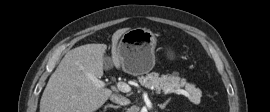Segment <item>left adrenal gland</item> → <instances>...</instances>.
<instances>
[{
	"label": "left adrenal gland",
	"mask_w": 270,
	"mask_h": 112,
	"mask_svg": "<svg viewBox=\"0 0 270 112\" xmlns=\"http://www.w3.org/2000/svg\"><path fill=\"white\" fill-rule=\"evenodd\" d=\"M169 101H170V99H168V100H167L166 102H164L163 104H160L159 107H160L161 109H164L165 106L169 103Z\"/></svg>",
	"instance_id": "obj_1"
}]
</instances>
